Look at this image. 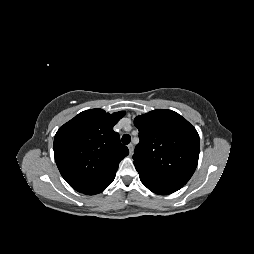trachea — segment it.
Here are the masks:
<instances>
[{"label":"trachea","instance_id":"3493384b","mask_svg":"<svg viewBox=\"0 0 254 254\" xmlns=\"http://www.w3.org/2000/svg\"><path fill=\"white\" fill-rule=\"evenodd\" d=\"M130 141H131V136L129 134H124L122 136V142H123V144L127 145V144L130 143Z\"/></svg>","mask_w":254,"mask_h":254}]
</instances>
